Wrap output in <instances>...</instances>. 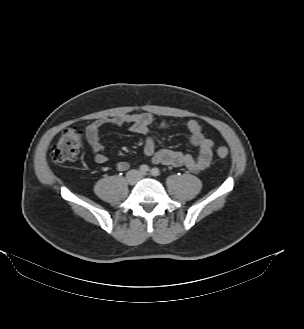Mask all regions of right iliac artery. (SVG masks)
<instances>
[{
  "label": "right iliac artery",
  "mask_w": 304,
  "mask_h": 329,
  "mask_svg": "<svg viewBox=\"0 0 304 329\" xmlns=\"http://www.w3.org/2000/svg\"><path fill=\"white\" fill-rule=\"evenodd\" d=\"M139 171L144 174V173L150 171V168L144 164V165L140 166Z\"/></svg>",
  "instance_id": "82829eb1"
}]
</instances>
